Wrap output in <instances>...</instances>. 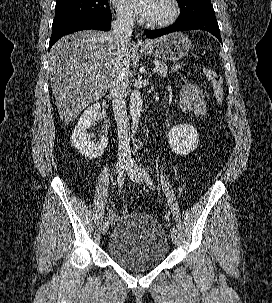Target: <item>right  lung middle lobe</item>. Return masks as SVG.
Here are the masks:
<instances>
[{
  "mask_svg": "<svg viewBox=\"0 0 272 303\" xmlns=\"http://www.w3.org/2000/svg\"><path fill=\"white\" fill-rule=\"evenodd\" d=\"M86 16L112 17L108 0H56L55 17L52 25Z\"/></svg>",
  "mask_w": 272,
  "mask_h": 303,
  "instance_id": "dd1d6c3e",
  "label": "right lung middle lobe"
}]
</instances>
